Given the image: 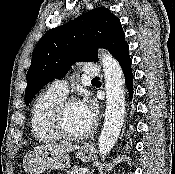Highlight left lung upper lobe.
Masks as SVG:
<instances>
[{"label": "left lung upper lobe", "mask_w": 175, "mask_h": 174, "mask_svg": "<svg viewBox=\"0 0 175 174\" xmlns=\"http://www.w3.org/2000/svg\"><path fill=\"white\" fill-rule=\"evenodd\" d=\"M126 45L120 20L105 7L51 29L32 54L24 98L26 105L48 82L64 77L73 63L97 61L99 47L108 49L117 58Z\"/></svg>", "instance_id": "1"}]
</instances>
